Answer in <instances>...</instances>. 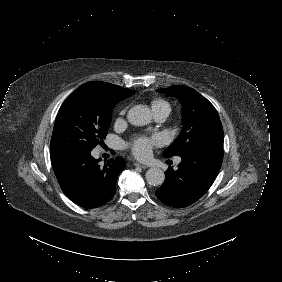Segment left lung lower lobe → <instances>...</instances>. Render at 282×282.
I'll use <instances>...</instances> for the list:
<instances>
[{"mask_svg":"<svg viewBox=\"0 0 282 282\" xmlns=\"http://www.w3.org/2000/svg\"><path fill=\"white\" fill-rule=\"evenodd\" d=\"M175 171L169 167L166 181L156 191L164 204L184 208L201 198L213 184L223 161V146L201 145L180 155Z\"/></svg>","mask_w":282,"mask_h":282,"instance_id":"1","label":"left lung lower lobe"}]
</instances>
